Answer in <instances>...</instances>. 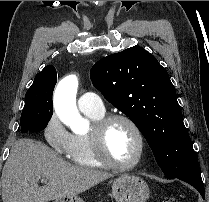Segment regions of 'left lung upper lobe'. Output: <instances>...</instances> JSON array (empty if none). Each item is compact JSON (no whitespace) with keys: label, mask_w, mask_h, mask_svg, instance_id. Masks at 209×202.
<instances>
[{"label":"left lung upper lobe","mask_w":209,"mask_h":202,"mask_svg":"<svg viewBox=\"0 0 209 202\" xmlns=\"http://www.w3.org/2000/svg\"><path fill=\"white\" fill-rule=\"evenodd\" d=\"M93 85L142 132L165 177L198 168L176 90L157 59L139 46L99 60L92 67Z\"/></svg>","instance_id":"1"}]
</instances>
